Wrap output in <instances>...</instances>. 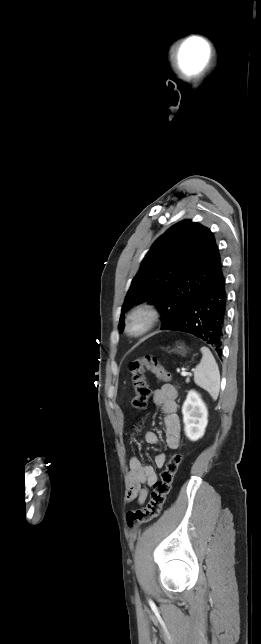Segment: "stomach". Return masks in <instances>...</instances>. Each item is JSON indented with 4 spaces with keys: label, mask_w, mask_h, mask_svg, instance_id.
<instances>
[{
    "label": "stomach",
    "mask_w": 261,
    "mask_h": 644,
    "mask_svg": "<svg viewBox=\"0 0 261 644\" xmlns=\"http://www.w3.org/2000/svg\"><path fill=\"white\" fill-rule=\"evenodd\" d=\"M173 351L181 354L182 356H185L186 353H187V349L185 348V346L183 344L177 345V348H175Z\"/></svg>",
    "instance_id": "obj_1"
}]
</instances>
